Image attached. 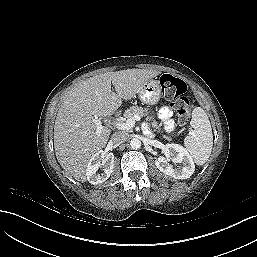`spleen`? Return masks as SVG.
<instances>
[{"instance_id": "1", "label": "spleen", "mask_w": 257, "mask_h": 257, "mask_svg": "<svg viewBox=\"0 0 257 257\" xmlns=\"http://www.w3.org/2000/svg\"><path fill=\"white\" fill-rule=\"evenodd\" d=\"M191 135L184 139L186 150L197 165H203L210 157L213 147V134L209 118L201 107L192 111Z\"/></svg>"}]
</instances>
